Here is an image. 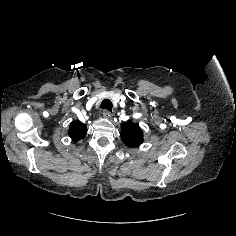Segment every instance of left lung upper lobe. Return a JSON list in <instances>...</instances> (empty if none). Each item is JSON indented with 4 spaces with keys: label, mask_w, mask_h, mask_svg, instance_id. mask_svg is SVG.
<instances>
[{
    "label": "left lung upper lobe",
    "mask_w": 236,
    "mask_h": 236,
    "mask_svg": "<svg viewBox=\"0 0 236 236\" xmlns=\"http://www.w3.org/2000/svg\"><path fill=\"white\" fill-rule=\"evenodd\" d=\"M121 138L129 147H138L143 143V131L138 124L128 121L121 126Z\"/></svg>",
    "instance_id": "obj_1"
}]
</instances>
